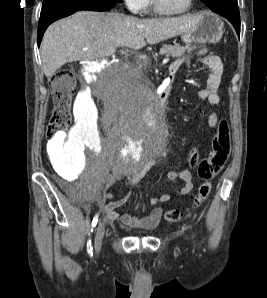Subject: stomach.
Returning a JSON list of instances; mask_svg holds the SVG:
<instances>
[{
	"instance_id": "obj_1",
	"label": "stomach",
	"mask_w": 267,
	"mask_h": 298,
	"mask_svg": "<svg viewBox=\"0 0 267 298\" xmlns=\"http://www.w3.org/2000/svg\"><path fill=\"white\" fill-rule=\"evenodd\" d=\"M199 22L193 30L181 34L182 40L187 43H217L223 35L224 23L214 13L202 12Z\"/></svg>"
}]
</instances>
